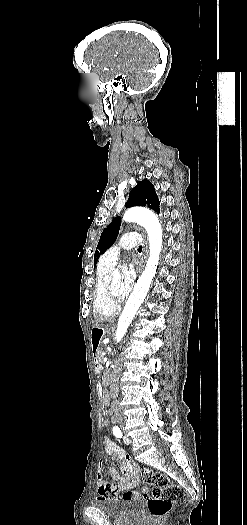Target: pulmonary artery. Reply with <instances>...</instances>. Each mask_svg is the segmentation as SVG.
I'll return each instance as SVG.
<instances>
[{"label": "pulmonary artery", "instance_id": "obj_1", "mask_svg": "<svg viewBox=\"0 0 247 525\" xmlns=\"http://www.w3.org/2000/svg\"><path fill=\"white\" fill-rule=\"evenodd\" d=\"M142 242L141 236H132V232L122 234L118 241L112 245L105 253V264H112L118 257L121 249H131Z\"/></svg>", "mask_w": 247, "mask_h": 525}]
</instances>
